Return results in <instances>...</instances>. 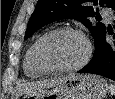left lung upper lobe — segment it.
I'll list each match as a JSON object with an SVG mask.
<instances>
[{"instance_id":"5c2ea615","label":"left lung upper lobe","mask_w":115,"mask_h":99,"mask_svg":"<svg viewBox=\"0 0 115 99\" xmlns=\"http://www.w3.org/2000/svg\"><path fill=\"white\" fill-rule=\"evenodd\" d=\"M100 7L115 8V0H38L36 8L30 17L24 39L29 38L42 26L60 19H76L82 22L92 33L95 46L106 30L102 23L95 26L88 17H95V8L91 3ZM98 15V9L96 10Z\"/></svg>"}]
</instances>
